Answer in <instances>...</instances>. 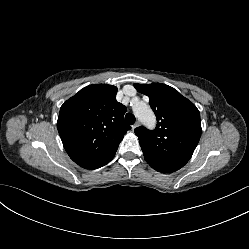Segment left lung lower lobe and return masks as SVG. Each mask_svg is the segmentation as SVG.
<instances>
[{
	"instance_id": "left-lung-lower-lobe-1",
	"label": "left lung lower lobe",
	"mask_w": 249,
	"mask_h": 249,
	"mask_svg": "<svg viewBox=\"0 0 249 249\" xmlns=\"http://www.w3.org/2000/svg\"><path fill=\"white\" fill-rule=\"evenodd\" d=\"M152 168H154L155 170L159 171V172H164V173H171L174 172L178 169L172 168V167H167V166H155V165H151Z\"/></svg>"
}]
</instances>
